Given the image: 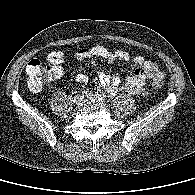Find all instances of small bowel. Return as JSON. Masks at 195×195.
Wrapping results in <instances>:
<instances>
[{"mask_svg":"<svg viewBox=\"0 0 195 195\" xmlns=\"http://www.w3.org/2000/svg\"><path fill=\"white\" fill-rule=\"evenodd\" d=\"M93 57L103 58L109 63H114L116 60H131L136 68L134 72L126 78L124 83L121 82L118 74L107 75L102 71L98 73L100 86L110 95H115L120 91H127L133 94L143 93L145 91L144 86L146 81L164 76V73L159 69L156 62L147 60L142 56L131 58L129 53L123 50L112 51L102 46H96L90 49H81L76 53L78 62H83ZM63 58V52L53 51L48 55L47 60L52 64L60 66L63 63ZM88 80V76L85 74H78L76 76V82L79 84H86Z\"/></svg>","mask_w":195,"mask_h":195,"instance_id":"small-bowel-1","label":"small bowel"}]
</instances>
